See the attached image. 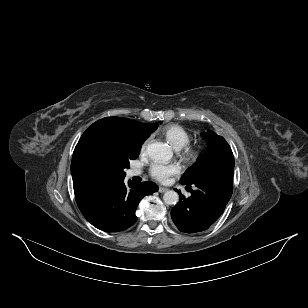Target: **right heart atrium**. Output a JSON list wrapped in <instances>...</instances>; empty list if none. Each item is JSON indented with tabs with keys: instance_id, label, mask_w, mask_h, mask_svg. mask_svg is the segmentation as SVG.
I'll use <instances>...</instances> for the list:
<instances>
[{
	"instance_id": "obj_1",
	"label": "right heart atrium",
	"mask_w": 308,
	"mask_h": 308,
	"mask_svg": "<svg viewBox=\"0 0 308 308\" xmlns=\"http://www.w3.org/2000/svg\"><path fill=\"white\" fill-rule=\"evenodd\" d=\"M146 146H147V141H146V142H144V144L142 145L141 150H142V151H144V150L146 149Z\"/></svg>"
}]
</instances>
